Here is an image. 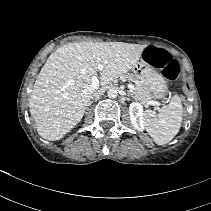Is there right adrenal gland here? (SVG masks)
<instances>
[{"mask_svg": "<svg viewBox=\"0 0 211 211\" xmlns=\"http://www.w3.org/2000/svg\"><path fill=\"white\" fill-rule=\"evenodd\" d=\"M92 103H93V101H89V103H88V107H89Z\"/></svg>", "mask_w": 211, "mask_h": 211, "instance_id": "right-adrenal-gland-1", "label": "right adrenal gland"}]
</instances>
